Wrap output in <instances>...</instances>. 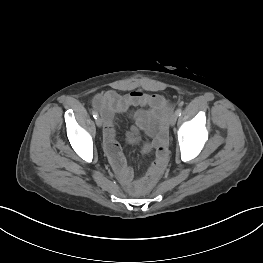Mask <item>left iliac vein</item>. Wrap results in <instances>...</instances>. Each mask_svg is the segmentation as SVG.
Segmentation results:
<instances>
[{"mask_svg": "<svg viewBox=\"0 0 263 263\" xmlns=\"http://www.w3.org/2000/svg\"><path fill=\"white\" fill-rule=\"evenodd\" d=\"M177 118H178V115L176 112L172 113L171 116H170V119H169V124L171 126H174L176 121H177Z\"/></svg>", "mask_w": 263, "mask_h": 263, "instance_id": "left-iliac-vein-1", "label": "left iliac vein"}]
</instances>
